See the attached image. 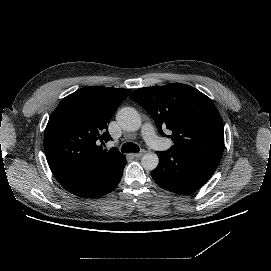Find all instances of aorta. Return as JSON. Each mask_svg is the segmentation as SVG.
<instances>
[{
    "label": "aorta",
    "instance_id": "aorta-1",
    "mask_svg": "<svg viewBox=\"0 0 271 271\" xmlns=\"http://www.w3.org/2000/svg\"><path fill=\"white\" fill-rule=\"evenodd\" d=\"M116 120L122 129L136 132L141 129L142 120L139 112L130 107L118 111ZM141 165L147 171L156 169L159 165V157L155 152H147L141 157Z\"/></svg>",
    "mask_w": 271,
    "mask_h": 271
}]
</instances>
